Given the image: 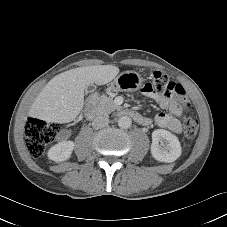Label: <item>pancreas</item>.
<instances>
[{
	"label": "pancreas",
	"instance_id": "obj_1",
	"mask_svg": "<svg viewBox=\"0 0 227 227\" xmlns=\"http://www.w3.org/2000/svg\"><path fill=\"white\" fill-rule=\"evenodd\" d=\"M118 108L113 99L106 95H102L95 105V111L98 115H108Z\"/></svg>",
	"mask_w": 227,
	"mask_h": 227
}]
</instances>
